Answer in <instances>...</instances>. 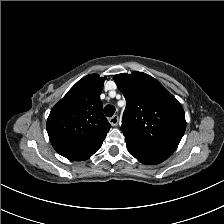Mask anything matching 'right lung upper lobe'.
Masks as SVG:
<instances>
[{
	"mask_svg": "<svg viewBox=\"0 0 224 224\" xmlns=\"http://www.w3.org/2000/svg\"><path fill=\"white\" fill-rule=\"evenodd\" d=\"M104 80L98 74L85 76L52 108L47 119L50 139H71L85 151H96L101 147L111 127L100 101Z\"/></svg>",
	"mask_w": 224,
	"mask_h": 224,
	"instance_id": "obj_1",
	"label": "right lung upper lobe"
}]
</instances>
